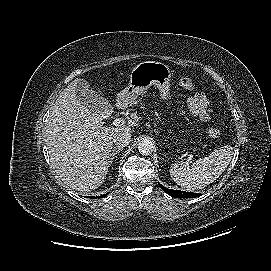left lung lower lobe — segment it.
Instances as JSON below:
<instances>
[{
    "mask_svg": "<svg viewBox=\"0 0 271 271\" xmlns=\"http://www.w3.org/2000/svg\"><path fill=\"white\" fill-rule=\"evenodd\" d=\"M159 186L161 187V189L163 191H165L167 194H169L172 197H176V198H193V197H198L200 196V194L198 193H192V192H185V191H178V190H172V189H168L164 186H162L161 184H159Z\"/></svg>",
    "mask_w": 271,
    "mask_h": 271,
    "instance_id": "1",
    "label": "left lung lower lobe"
}]
</instances>
